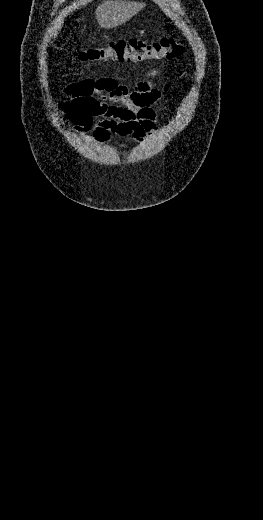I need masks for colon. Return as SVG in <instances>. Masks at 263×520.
<instances>
[{
    "label": "colon",
    "instance_id": "1",
    "mask_svg": "<svg viewBox=\"0 0 263 520\" xmlns=\"http://www.w3.org/2000/svg\"><path fill=\"white\" fill-rule=\"evenodd\" d=\"M183 46L173 37H165L155 42L140 39H118L109 43L81 51L78 59L87 61L145 62L176 58L182 55Z\"/></svg>",
    "mask_w": 263,
    "mask_h": 520
}]
</instances>
